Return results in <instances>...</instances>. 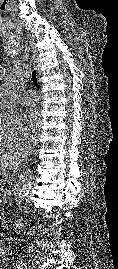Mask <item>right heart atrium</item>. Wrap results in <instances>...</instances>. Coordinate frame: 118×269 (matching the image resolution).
<instances>
[{"label": "right heart atrium", "instance_id": "right-heart-atrium-1", "mask_svg": "<svg viewBox=\"0 0 118 269\" xmlns=\"http://www.w3.org/2000/svg\"><path fill=\"white\" fill-rule=\"evenodd\" d=\"M29 139L30 134L19 117L6 119L0 115V142L18 146L28 142Z\"/></svg>", "mask_w": 118, "mask_h": 269}]
</instances>
